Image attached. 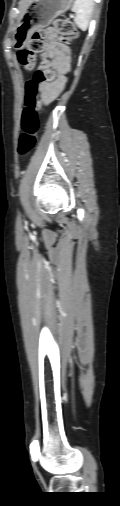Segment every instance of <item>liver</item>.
I'll return each instance as SVG.
<instances>
[{
    "label": "liver",
    "instance_id": "1",
    "mask_svg": "<svg viewBox=\"0 0 120 506\" xmlns=\"http://www.w3.org/2000/svg\"><path fill=\"white\" fill-rule=\"evenodd\" d=\"M33 2V0H20L19 9H20V18L23 16L24 12L28 8V6Z\"/></svg>",
    "mask_w": 120,
    "mask_h": 506
}]
</instances>
